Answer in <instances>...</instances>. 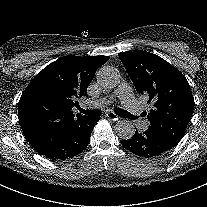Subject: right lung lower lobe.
Returning <instances> with one entry per match:
<instances>
[{
    "label": "right lung lower lobe",
    "instance_id": "obj_1",
    "mask_svg": "<svg viewBox=\"0 0 207 207\" xmlns=\"http://www.w3.org/2000/svg\"><path fill=\"white\" fill-rule=\"evenodd\" d=\"M100 117L81 116L49 145L36 150L50 160H65L81 153L88 145L90 135Z\"/></svg>",
    "mask_w": 207,
    "mask_h": 207
}]
</instances>
